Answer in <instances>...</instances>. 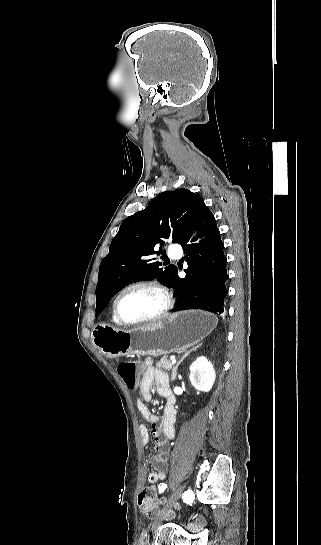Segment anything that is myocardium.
I'll return each mask as SVG.
<instances>
[{"instance_id":"obj_1","label":"myocardium","mask_w":321,"mask_h":545,"mask_svg":"<svg viewBox=\"0 0 321 545\" xmlns=\"http://www.w3.org/2000/svg\"><path fill=\"white\" fill-rule=\"evenodd\" d=\"M137 288H146V289H150V290L158 292L164 298L165 304H164V307L157 314L149 318H146L137 322H128L120 314L119 301L123 294ZM173 306H174L173 295L166 286L157 282L141 281V282L130 284L118 292L113 303V311L120 325L125 327H140V326L154 323L163 319L172 310Z\"/></svg>"}]
</instances>
